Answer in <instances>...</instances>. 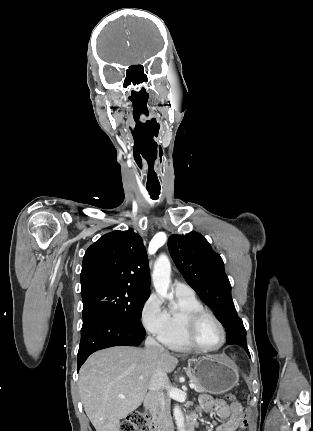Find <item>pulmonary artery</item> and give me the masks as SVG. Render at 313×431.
<instances>
[{
    "instance_id": "e3ab8cb5",
    "label": "pulmonary artery",
    "mask_w": 313,
    "mask_h": 431,
    "mask_svg": "<svg viewBox=\"0 0 313 431\" xmlns=\"http://www.w3.org/2000/svg\"><path fill=\"white\" fill-rule=\"evenodd\" d=\"M173 290L177 295H194L195 294L193 289L189 285H187L183 282H180V281H175L173 283Z\"/></svg>"
}]
</instances>
